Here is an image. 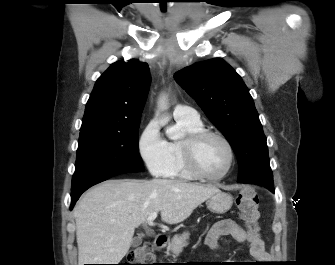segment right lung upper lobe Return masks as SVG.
<instances>
[{
    "label": "right lung upper lobe",
    "instance_id": "obj_1",
    "mask_svg": "<svg viewBox=\"0 0 335 265\" xmlns=\"http://www.w3.org/2000/svg\"><path fill=\"white\" fill-rule=\"evenodd\" d=\"M149 84L147 63L137 60L113 63L96 81L80 133L118 130L140 121Z\"/></svg>",
    "mask_w": 335,
    "mask_h": 265
}]
</instances>
